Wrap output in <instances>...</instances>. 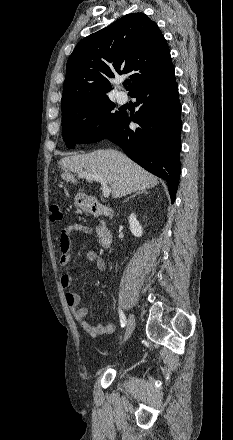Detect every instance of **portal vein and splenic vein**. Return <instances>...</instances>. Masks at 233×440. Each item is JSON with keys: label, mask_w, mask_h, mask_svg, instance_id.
<instances>
[{"label": "portal vein and splenic vein", "mask_w": 233, "mask_h": 440, "mask_svg": "<svg viewBox=\"0 0 233 440\" xmlns=\"http://www.w3.org/2000/svg\"><path fill=\"white\" fill-rule=\"evenodd\" d=\"M78 177L85 178L87 180H94V181H97V182L101 183L103 196L105 198L110 196L111 188L107 185L108 183H107L106 179L103 176L82 173V174H78Z\"/></svg>", "instance_id": "portal-vein-and-splenic-vein-1"}]
</instances>
